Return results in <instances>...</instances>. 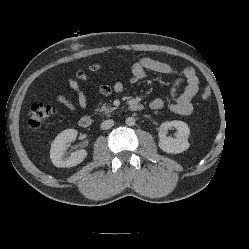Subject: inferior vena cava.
<instances>
[{"mask_svg":"<svg viewBox=\"0 0 249 249\" xmlns=\"http://www.w3.org/2000/svg\"><path fill=\"white\" fill-rule=\"evenodd\" d=\"M114 125V121L112 119H109V120H105L101 123L100 127L101 129L103 130H107V129H110L112 128Z\"/></svg>","mask_w":249,"mask_h":249,"instance_id":"obj_1","label":"inferior vena cava"}]
</instances>
